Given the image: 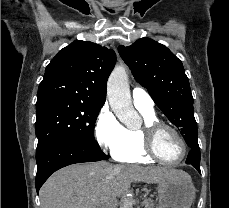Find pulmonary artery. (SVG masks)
<instances>
[{
	"mask_svg": "<svg viewBox=\"0 0 229 208\" xmlns=\"http://www.w3.org/2000/svg\"><path fill=\"white\" fill-rule=\"evenodd\" d=\"M132 100L138 110L154 112V102L150 95L142 88L136 87L132 91Z\"/></svg>",
	"mask_w": 229,
	"mask_h": 208,
	"instance_id": "1",
	"label": "pulmonary artery"
}]
</instances>
